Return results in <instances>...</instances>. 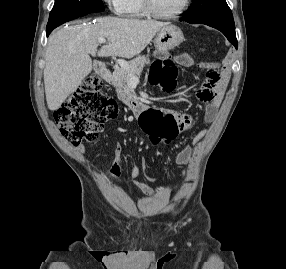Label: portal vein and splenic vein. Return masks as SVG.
<instances>
[{
	"mask_svg": "<svg viewBox=\"0 0 286 269\" xmlns=\"http://www.w3.org/2000/svg\"><path fill=\"white\" fill-rule=\"evenodd\" d=\"M98 42L103 44V43L106 42V40L103 39V38H100V39H98ZM117 62L120 65L121 68H124V69H127V70L129 69V65H128V63L126 61L118 60ZM131 80L138 81V77L134 75V76L131 77Z\"/></svg>",
	"mask_w": 286,
	"mask_h": 269,
	"instance_id": "obj_1",
	"label": "portal vein and splenic vein"
}]
</instances>
